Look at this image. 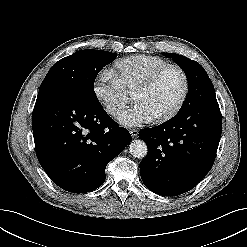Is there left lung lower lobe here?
Listing matches in <instances>:
<instances>
[{
    "instance_id": "1",
    "label": "left lung lower lobe",
    "mask_w": 247,
    "mask_h": 247,
    "mask_svg": "<svg viewBox=\"0 0 247 247\" xmlns=\"http://www.w3.org/2000/svg\"><path fill=\"white\" fill-rule=\"evenodd\" d=\"M222 130L218 102L189 107L168 121L141 129L148 147L140 162L144 185L164 196L195 187L213 166Z\"/></svg>"
}]
</instances>
